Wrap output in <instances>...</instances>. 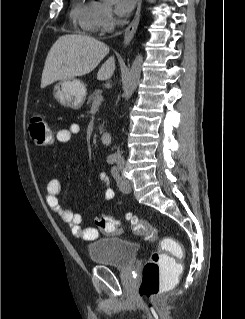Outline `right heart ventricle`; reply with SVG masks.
<instances>
[{
    "label": "right heart ventricle",
    "instance_id": "obj_1",
    "mask_svg": "<svg viewBox=\"0 0 245 319\" xmlns=\"http://www.w3.org/2000/svg\"><path fill=\"white\" fill-rule=\"evenodd\" d=\"M98 3L92 0H78L71 11V17L79 27L87 32L95 31Z\"/></svg>",
    "mask_w": 245,
    "mask_h": 319
}]
</instances>
